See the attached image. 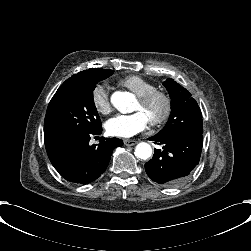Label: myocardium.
Instances as JSON below:
<instances>
[{"label": "myocardium", "instance_id": "1", "mask_svg": "<svg viewBox=\"0 0 251 251\" xmlns=\"http://www.w3.org/2000/svg\"><path fill=\"white\" fill-rule=\"evenodd\" d=\"M156 99H161L163 101L164 109L161 114L152 116L151 122L153 124H160L166 121L172 113L173 100L171 95L159 89H154L148 93L139 95V100L145 105L153 104Z\"/></svg>", "mask_w": 251, "mask_h": 251}]
</instances>
